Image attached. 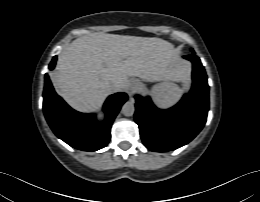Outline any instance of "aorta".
<instances>
[{
    "instance_id": "aorta-1",
    "label": "aorta",
    "mask_w": 260,
    "mask_h": 202,
    "mask_svg": "<svg viewBox=\"0 0 260 202\" xmlns=\"http://www.w3.org/2000/svg\"><path fill=\"white\" fill-rule=\"evenodd\" d=\"M121 112L123 115H125L127 117L132 116L135 112L134 103L131 101H127L126 103H124V105L122 106Z\"/></svg>"
}]
</instances>
